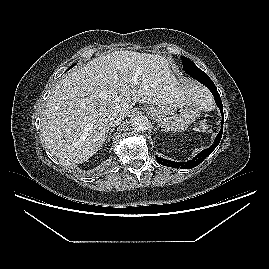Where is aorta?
Listing matches in <instances>:
<instances>
[{"label":"aorta","instance_id":"aorta-1","mask_svg":"<svg viewBox=\"0 0 269 269\" xmlns=\"http://www.w3.org/2000/svg\"><path fill=\"white\" fill-rule=\"evenodd\" d=\"M131 125L135 131H145L148 129L149 120L146 116L143 115L135 116L132 119Z\"/></svg>","mask_w":269,"mask_h":269}]
</instances>
